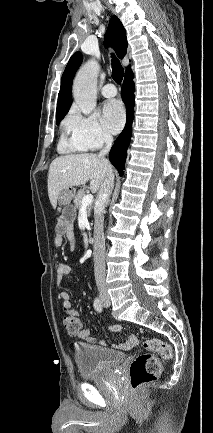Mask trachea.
Returning a JSON list of instances; mask_svg holds the SVG:
<instances>
[{
	"label": "trachea",
	"mask_w": 213,
	"mask_h": 433,
	"mask_svg": "<svg viewBox=\"0 0 213 433\" xmlns=\"http://www.w3.org/2000/svg\"><path fill=\"white\" fill-rule=\"evenodd\" d=\"M124 75V69L120 61L113 55L112 56V77L116 83H121Z\"/></svg>",
	"instance_id": "3493384b"
}]
</instances>
